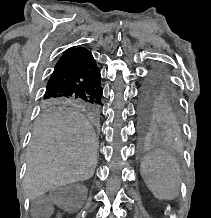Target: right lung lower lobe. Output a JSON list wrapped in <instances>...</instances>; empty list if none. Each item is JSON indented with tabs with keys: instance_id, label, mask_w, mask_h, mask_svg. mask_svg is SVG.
Listing matches in <instances>:
<instances>
[{
	"instance_id": "right-lung-lower-lobe-1",
	"label": "right lung lower lobe",
	"mask_w": 211,
	"mask_h": 218,
	"mask_svg": "<svg viewBox=\"0 0 211 218\" xmlns=\"http://www.w3.org/2000/svg\"><path fill=\"white\" fill-rule=\"evenodd\" d=\"M100 72L88 50L64 54L47 83L44 97H76L101 104Z\"/></svg>"
}]
</instances>
